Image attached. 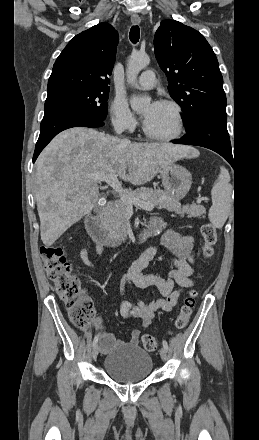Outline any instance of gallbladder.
I'll list each match as a JSON object with an SVG mask.
<instances>
[{"label": "gallbladder", "mask_w": 259, "mask_h": 440, "mask_svg": "<svg viewBox=\"0 0 259 440\" xmlns=\"http://www.w3.org/2000/svg\"><path fill=\"white\" fill-rule=\"evenodd\" d=\"M100 209V206H97V210H99Z\"/></svg>", "instance_id": "gallbladder-1"}]
</instances>
